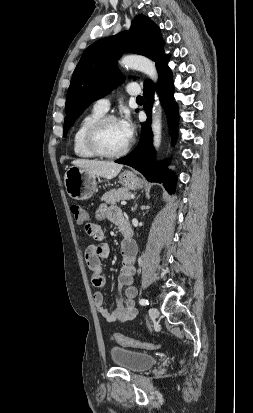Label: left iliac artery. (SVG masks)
I'll list each match as a JSON object with an SVG mask.
<instances>
[{
  "instance_id": "obj_1",
  "label": "left iliac artery",
  "mask_w": 253,
  "mask_h": 413,
  "mask_svg": "<svg viewBox=\"0 0 253 413\" xmlns=\"http://www.w3.org/2000/svg\"><path fill=\"white\" fill-rule=\"evenodd\" d=\"M139 303H140V305H142V306H147V305H149V301H148L147 299H145V298L140 299Z\"/></svg>"
}]
</instances>
